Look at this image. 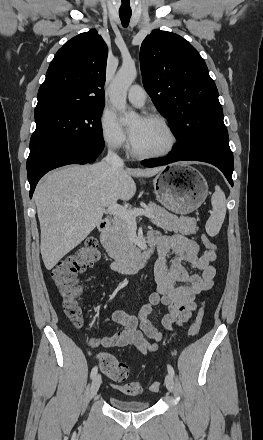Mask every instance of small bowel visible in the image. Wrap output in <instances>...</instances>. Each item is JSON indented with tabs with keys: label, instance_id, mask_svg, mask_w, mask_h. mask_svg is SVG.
I'll return each instance as SVG.
<instances>
[{
	"label": "small bowel",
	"instance_id": "1",
	"mask_svg": "<svg viewBox=\"0 0 263 440\" xmlns=\"http://www.w3.org/2000/svg\"><path fill=\"white\" fill-rule=\"evenodd\" d=\"M147 239L157 246L159 253L154 268L156 292L150 295L137 316L122 310L113 311L105 322L118 323L120 329L112 336L93 340L92 346H130L147 354L156 349V344L149 343L146 337L156 342L163 337L148 319L153 307L163 304L168 308V313L162 318V325L172 330L174 324L182 326L190 319L196 308V297L212 288L216 275V269L211 264L216 259L214 251L206 250L200 255L198 244L179 234L167 236L152 231ZM186 264L195 273L189 272Z\"/></svg>",
	"mask_w": 263,
	"mask_h": 440
}]
</instances>
